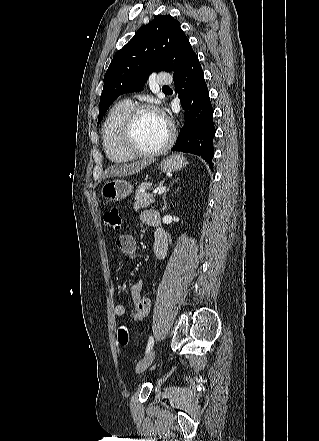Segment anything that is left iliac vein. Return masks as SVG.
Here are the masks:
<instances>
[{"label": "left iliac vein", "instance_id": "left-iliac-vein-1", "mask_svg": "<svg viewBox=\"0 0 319 441\" xmlns=\"http://www.w3.org/2000/svg\"><path fill=\"white\" fill-rule=\"evenodd\" d=\"M155 358V349L149 351L143 359H141L136 365V372L141 373L146 370L153 362Z\"/></svg>", "mask_w": 319, "mask_h": 441}]
</instances>
